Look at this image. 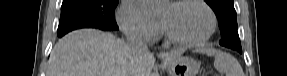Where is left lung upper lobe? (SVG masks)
Returning a JSON list of instances; mask_svg holds the SVG:
<instances>
[{"label": "left lung upper lobe", "instance_id": "5c2ea615", "mask_svg": "<svg viewBox=\"0 0 287 76\" xmlns=\"http://www.w3.org/2000/svg\"><path fill=\"white\" fill-rule=\"evenodd\" d=\"M213 9L218 20L221 30L222 39L220 44L228 48L241 47L237 31L236 11L233 0H205Z\"/></svg>", "mask_w": 287, "mask_h": 76}]
</instances>
